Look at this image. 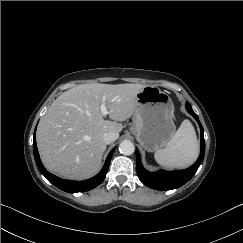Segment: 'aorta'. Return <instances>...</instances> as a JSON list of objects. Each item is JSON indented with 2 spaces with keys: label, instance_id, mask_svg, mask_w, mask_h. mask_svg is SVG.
Instances as JSON below:
<instances>
[{
  "label": "aorta",
  "instance_id": "obj_1",
  "mask_svg": "<svg viewBox=\"0 0 243 243\" xmlns=\"http://www.w3.org/2000/svg\"><path fill=\"white\" fill-rule=\"evenodd\" d=\"M119 151L124 155H131L135 151V146L130 140H123L119 144Z\"/></svg>",
  "mask_w": 243,
  "mask_h": 243
}]
</instances>
